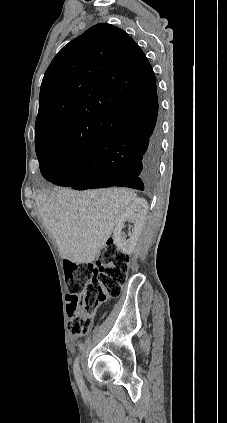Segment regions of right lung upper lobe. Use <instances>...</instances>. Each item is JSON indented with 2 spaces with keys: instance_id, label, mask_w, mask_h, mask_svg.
Masks as SVG:
<instances>
[{
  "instance_id": "right-lung-upper-lobe-1",
  "label": "right lung upper lobe",
  "mask_w": 227,
  "mask_h": 423,
  "mask_svg": "<svg viewBox=\"0 0 227 423\" xmlns=\"http://www.w3.org/2000/svg\"><path fill=\"white\" fill-rule=\"evenodd\" d=\"M155 90L153 69L138 44L118 27L97 24L64 46L48 67L35 141L88 149L104 134L127 128L107 114L110 107L147 100Z\"/></svg>"
}]
</instances>
